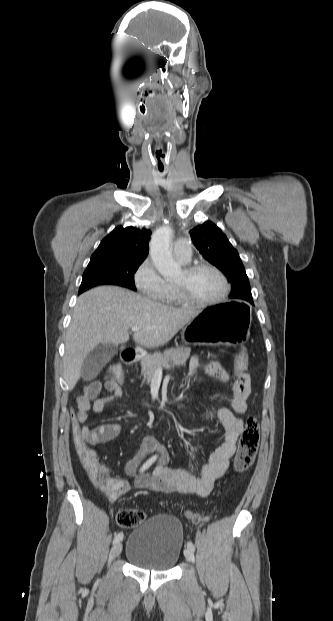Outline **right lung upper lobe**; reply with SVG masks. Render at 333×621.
<instances>
[{
    "mask_svg": "<svg viewBox=\"0 0 333 621\" xmlns=\"http://www.w3.org/2000/svg\"><path fill=\"white\" fill-rule=\"evenodd\" d=\"M151 232L145 228L116 227L92 254L90 262L105 260L144 261L149 252Z\"/></svg>",
    "mask_w": 333,
    "mask_h": 621,
    "instance_id": "1",
    "label": "right lung upper lobe"
}]
</instances>
